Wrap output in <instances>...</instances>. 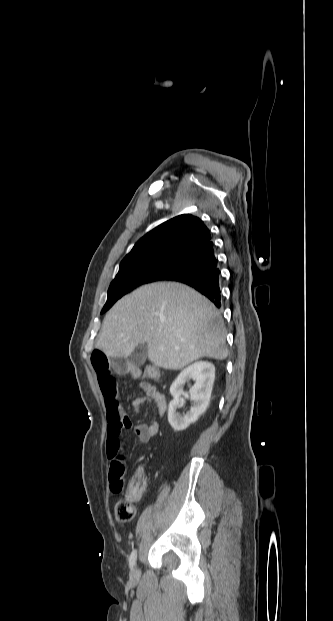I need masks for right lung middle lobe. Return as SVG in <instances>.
<instances>
[{"mask_svg":"<svg viewBox=\"0 0 333 621\" xmlns=\"http://www.w3.org/2000/svg\"><path fill=\"white\" fill-rule=\"evenodd\" d=\"M184 258L164 257L121 263L119 272L108 289L107 302L101 313L106 312L123 295L134 288L163 280L183 262Z\"/></svg>","mask_w":333,"mask_h":621,"instance_id":"dd1d6c3e","label":"right lung middle lobe"}]
</instances>
